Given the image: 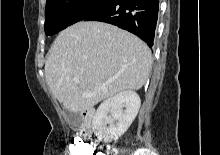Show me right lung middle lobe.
I'll list each match as a JSON object with an SVG mask.
<instances>
[{
  "label": "right lung middle lobe",
  "instance_id": "1",
  "mask_svg": "<svg viewBox=\"0 0 220 155\" xmlns=\"http://www.w3.org/2000/svg\"><path fill=\"white\" fill-rule=\"evenodd\" d=\"M114 0H52L46 3L45 33L54 35L80 20L101 11Z\"/></svg>",
  "mask_w": 220,
  "mask_h": 155
}]
</instances>
